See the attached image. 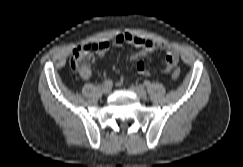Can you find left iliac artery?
<instances>
[{
    "instance_id": "obj_1",
    "label": "left iliac artery",
    "mask_w": 243,
    "mask_h": 167,
    "mask_svg": "<svg viewBox=\"0 0 243 167\" xmlns=\"http://www.w3.org/2000/svg\"><path fill=\"white\" fill-rule=\"evenodd\" d=\"M144 85H145V86H149V85H150V82H149L148 80H145V81H144Z\"/></svg>"
}]
</instances>
